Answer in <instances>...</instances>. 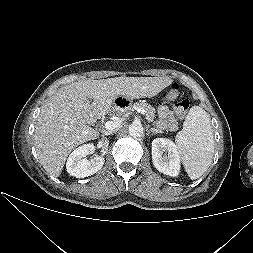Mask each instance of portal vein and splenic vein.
<instances>
[{
    "label": "portal vein and splenic vein",
    "instance_id": "portal-vein-and-splenic-vein-1",
    "mask_svg": "<svg viewBox=\"0 0 253 253\" xmlns=\"http://www.w3.org/2000/svg\"><path fill=\"white\" fill-rule=\"evenodd\" d=\"M136 110H137L138 113L145 114L144 109L138 108ZM121 122H122V118L114 120V121H107L104 124V126H105L106 130H113V129L117 128L121 124Z\"/></svg>",
    "mask_w": 253,
    "mask_h": 253
}]
</instances>
